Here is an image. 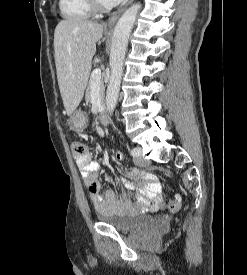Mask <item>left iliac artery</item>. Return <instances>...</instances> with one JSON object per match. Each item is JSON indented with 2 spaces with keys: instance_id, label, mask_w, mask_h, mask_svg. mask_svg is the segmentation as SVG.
<instances>
[{
  "instance_id": "1",
  "label": "left iliac artery",
  "mask_w": 247,
  "mask_h": 275,
  "mask_svg": "<svg viewBox=\"0 0 247 275\" xmlns=\"http://www.w3.org/2000/svg\"><path fill=\"white\" fill-rule=\"evenodd\" d=\"M131 155H133L134 157L137 155V151L135 149L131 150Z\"/></svg>"
}]
</instances>
